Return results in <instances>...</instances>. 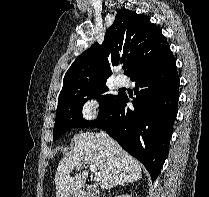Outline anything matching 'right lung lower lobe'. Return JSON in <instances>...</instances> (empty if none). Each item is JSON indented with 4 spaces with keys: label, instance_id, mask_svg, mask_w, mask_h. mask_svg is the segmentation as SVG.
Segmentation results:
<instances>
[{
    "label": "right lung lower lobe",
    "instance_id": "1",
    "mask_svg": "<svg viewBox=\"0 0 209 197\" xmlns=\"http://www.w3.org/2000/svg\"><path fill=\"white\" fill-rule=\"evenodd\" d=\"M136 85L134 108L125 93L89 124L103 128L149 171L152 182L169 151L179 99V76L173 53L131 77Z\"/></svg>",
    "mask_w": 209,
    "mask_h": 197
}]
</instances>
